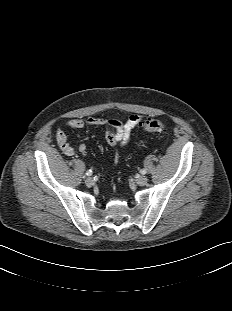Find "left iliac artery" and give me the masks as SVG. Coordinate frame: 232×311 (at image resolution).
Segmentation results:
<instances>
[{
	"instance_id": "left-iliac-artery-1",
	"label": "left iliac artery",
	"mask_w": 232,
	"mask_h": 311,
	"mask_svg": "<svg viewBox=\"0 0 232 311\" xmlns=\"http://www.w3.org/2000/svg\"><path fill=\"white\" fill-rule=\"evenodd\" d=\"M141 173H142V174H146V173H147V170H146V169H142V170H141Z\"/></svg>"
}]
</instances>
